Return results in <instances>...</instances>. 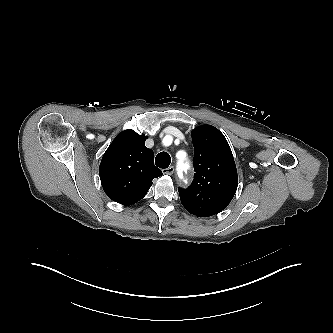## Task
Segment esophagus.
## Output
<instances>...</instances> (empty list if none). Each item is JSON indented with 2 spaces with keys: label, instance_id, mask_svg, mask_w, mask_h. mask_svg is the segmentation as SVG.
<instances>
[{
  "label": "esophagus",
  "instance_id": "34e87169",
  "mask_svg": "<svg viewBox=\"0 0 333 333\" xmlns=\"http://www.w3.org/2000/svg\"><path fill=\"white\" fill-rule=\"evenodd\" d=\"M174 166H170L168 168L162 169V173L163 174H167V175H172L174 173Z\"/></svg>",
  "mask_w": 333,
  "mask_h": 333
}]
</instances>
